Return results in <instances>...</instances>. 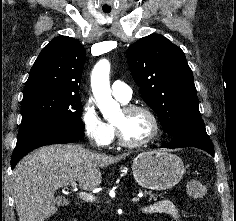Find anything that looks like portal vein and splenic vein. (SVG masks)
<instances>
[{
	"mask_svg": "<svg viewBox=\"0 0 236 221\" xmlns=\"http://www.w3.org/2000/svg\"><path fill=\"white\" fill-rule=\"evenodd\" d=\"M71 186L73 189H76L77 187V184L76 182H72L71 183ZM79 197L83 200V201H86V202H95L96 201V197L93 196L92 194L90 193H87V192H79ZM140 198L139 197H133L131 199L132 202H139Z\"/></svg>",
	"mask_w": 236,
	"mask_h": 221,
	"instance_id": "1",
	"label": "portal vein and splenic vein"
}]
</instances>
